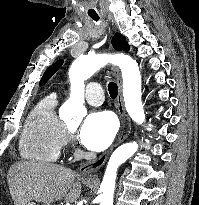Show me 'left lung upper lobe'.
I'll list each match as a JSON object with an SVG mask.
<instances>
[{
  "instance_id": "obj_1",
  "label": "left lung upper lobe",
  "mask_w": 199,
  "mask_h": 205,
  "mask_svg": "<svg viewBox=\"0 0 199 205\" xmlns=\"http://www.w3.org/2000/svg\"><path fill=\"white\" fill-rule=\"evenodd\" d=\"M112 44L114 49L116 50H124L128 51L129 50V45L126 41V38L121 35L120 33H116L114 37L112 38ZM63 64V60H58L55 62L53 65H51L44 73L40 85H43L47 82V80L61 67Z\"/></svg>"
}]
</instances>
